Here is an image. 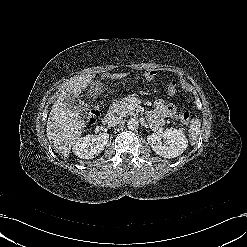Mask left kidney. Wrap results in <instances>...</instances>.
Returning <instances> with one entry per match:
<instances>
[{"instance_id": "5707ae66", "label": "left kidney", "mask_w": 247, "mask_h": 247, "mask_svg": "<svg viewBox=\"0 0 247 247\" xmlns=\"http://www.w3.org/2000/svg\"><path fill=\"white\" fill-rule=\"evenodd\" d=\"M152 150L164 158H175L181 155L188 146L182 129H166L162 134H151L147 137Z\"/></svg>"}]
</instances>
